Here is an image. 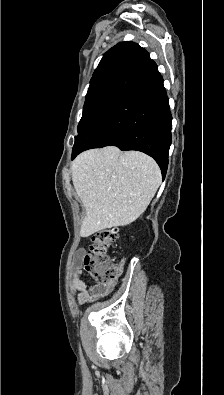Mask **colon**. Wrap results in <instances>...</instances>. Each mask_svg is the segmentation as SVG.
Returning <instances> with one entry per match:
<instances>
[{
    "label": "colon",
    "instance_id": "1",
    "mask_svg": "<svg viewBox=\"0 0 224 395\" xmlns=\"http://www.w3.org/2000/svg\"><path fill=\"white\" fill-rule=\"evenodd\" d=\"M117 229L107 228L91 236V244L83 258V267L86 273L97 283H111L120 273L118 266L111 262L108 255L109 247L115 242Z\"/></svg>",
    "mask_w": 224,
    "mask_h": 395
}]
</instances>
